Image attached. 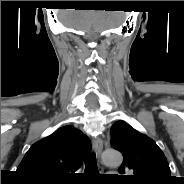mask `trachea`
Segmentation results:
<instances>
[{
  "instance_id": "1",
  "label": "trachea",
  "mask_w": 184,
  "mask_h": 184,
  "mask_svg": "<svg viewBox=\"0 0 184 184\" xmlns=\"http://www.w3.org/2000/svg\"><path fill=\"white\" fill-rule=\"evenodd\" d=\"M85 172L89 174H97V163L95 154H90L84 158Z\"/></svg>"
}]
</instances>
